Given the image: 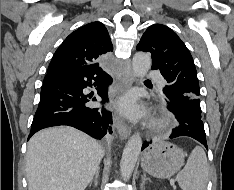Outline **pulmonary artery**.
Wrapping results in <instances>:
<instances>
[{
	"instance_id": "1",
	"label": "pulmonary artery",
	"mask_w": 234,
	"mask_h": 190,
	"mask_svg": "<svg viewBox=\"0 0 234 190\" xmlns=\"http://www.w3.org/2000/svg\"><path fill=\"white\" fill-rule=\"evenodd\" d=\"M148 75L156 78L157 84L160 87H163L165 85V81L162 78H160L159 76H157L155 73H153L152 71H149Z\"/></svg>"
}]
</instances>
